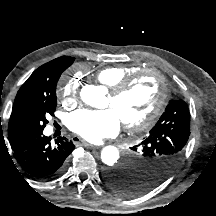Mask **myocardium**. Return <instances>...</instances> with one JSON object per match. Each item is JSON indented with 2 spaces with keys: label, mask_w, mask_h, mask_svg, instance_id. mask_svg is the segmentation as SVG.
Wrapping results in <instances>:
<instances>
[{
  "label": "myocardium",
  "mask_w": 216,
  "mask_h": 216,
  "mask_svg": "<svg viewBox=\"0 0 216 216\" xmlns=\"http://www.w3.org/2000/svg\"><path fill=\"white\" fill-rule=\"evenodd\" d=\"M146 74H152L158 79L160 85L158 98L153 108L144 119L135 123L123 122L124 128L130 132H139L145 130L154 124L157 117L163 110L168 98L167 80L165 76L157 69H144L127 76L110 89V96L113 99H118L121 95L128 91L142 76Z\"/></svg>",
  "instance_id": "obj_1"
}]
</instances>
